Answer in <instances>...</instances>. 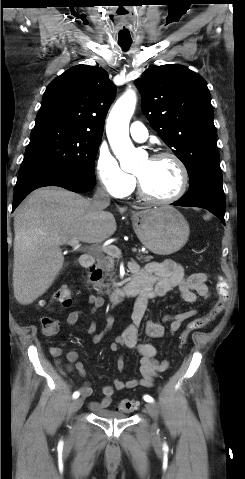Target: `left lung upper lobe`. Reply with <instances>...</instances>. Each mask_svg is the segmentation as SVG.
I'll use <instances>...</instances> for the list:
<instances>
[{"instance_id": "obj_1", "label": "left lung upper lobe", "mask_w": 245, "mask_h": 479, "mask_svg": "<svg viewBox=\"0 0 245 479\" xmlns=\"http://www.w3.org/2000/svg\"><path fill=\"white\" fill-rule=\"evenodd\" d=\"M137 86L142 109L161 139L185 165L190 185L220 170L214 112L205 80L181 65L147 69Z\"/></svg>"}]
</instances>
